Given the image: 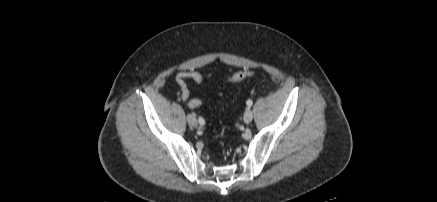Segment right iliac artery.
<instances>
[{"instance_id": "obj_1", "label": "right iliac artery", "mask_w": 437, "mask_h": 202, "mask_svg": "<svg viewBox=\"0 0 437 202\" xmlns=\"http://www.w3.org/2000/svg\"><path fill=\"white\" fill-rule=\"evenodd\" d=\"M198 121H199L200 125H204L205 124V120L202 117H199Z\"/></svg>"}]
</instances>
